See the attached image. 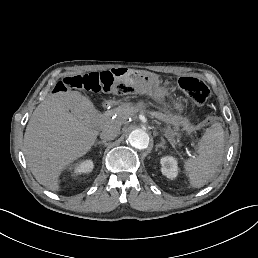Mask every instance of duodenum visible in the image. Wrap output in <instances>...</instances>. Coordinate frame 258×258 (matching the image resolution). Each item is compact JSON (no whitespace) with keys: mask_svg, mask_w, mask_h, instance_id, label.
Listing matches in <instances>:
<instances>
[{"mask_svg":"<svg viewBox=\"0 0 258 258\" xmlns=\"http://www.w3.org/2000/svg\"><path fill=\"white\" fill-rule=\"evenodd\" d=\"M109 75L115 81L128 82L137 76L134 69L125 66H116L109 71Z\"/></svg>","mask_w":258,"mask_h":258,"instance_id":"obj_1","label":"duodenum"}]
</instances>
